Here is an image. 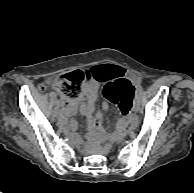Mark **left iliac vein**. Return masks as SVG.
Returning <instances> with one entry per match:
<instances>
[{"instance_id":"left-iliac-vein-1","label":"left iliac vein","mask_w":194,"mask_h":193,"mask_svg":"<svg viewBox=\"0 0 194 193\" xmlns=\"http://www.w3.org/2000/svg\"><path fill=\"white\" fill-rule=\"evenodd\" d=\"M137 95V94H136ZM135 111L136 112H139L140 111V108H139V104H138V101H136V104H135Z\"/></svg>"}]
</instances>
